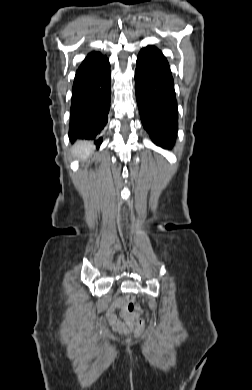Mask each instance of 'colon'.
<instances>
[{
  "label": "colon",
  "instance_id": "colon-1",
  "mask_svg": "<svg viewBox=\"0 0 252 390\" xmlns=\"http://www.w3.org/2000/svg\"><path fill=\"white\" fill-rule=\"evenodd\" d=\"M125 308L132 318L136 334L140 335L144 330L145 324L143 318L140 316V310L136 305L133 296L129 295L126 297Z\"/></svg>",
  "mask_w": 252,
  "mask_h": 390
}]
</instances>
